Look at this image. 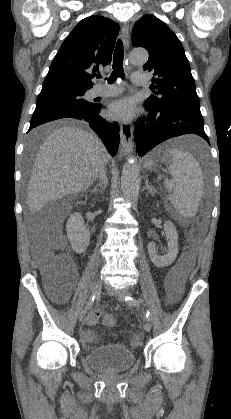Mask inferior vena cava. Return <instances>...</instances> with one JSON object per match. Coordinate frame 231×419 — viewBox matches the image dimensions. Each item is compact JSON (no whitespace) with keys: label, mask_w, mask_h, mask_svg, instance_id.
<instances>
[{"label":"inferior vena cava","mask_w":231,"mask_h":419,"mask_svg":"<svg viewBox=\"0 0 231 419\" xmlns=\"http://www.w3.org/2000/svg\"><path fill=\"white\" fill-rule=\"evenodd\" d=\"M98 176H99L100 182H102V184H104V181L107 180L105 166L100 168ZM100 186H101V184H100Z\"/></svg>","instance_id":"602c4592"}]
</instances>
